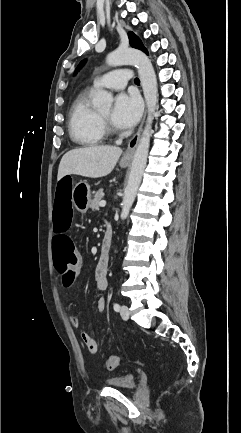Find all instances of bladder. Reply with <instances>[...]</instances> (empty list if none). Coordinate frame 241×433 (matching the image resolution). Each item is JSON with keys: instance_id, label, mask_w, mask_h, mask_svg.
<instances>
[{"instance_id": "31cf9c89", "label": "bladder", "mask_w": 241, "mask_h": 433, "mask_svg": "<svg viewBox=\"0 0 241 433\" xmlns=\"http://www.w3.org/2000/svg\"><path fill=\"white\" fill-rule=\"evenodd\" d=\"M105 384L120 390H132L136 387L137 377L135 374L126 373L119 376L108 377Z\"/></svg>"}]
</instances>
